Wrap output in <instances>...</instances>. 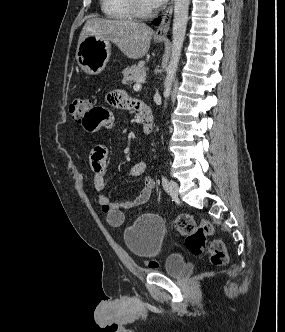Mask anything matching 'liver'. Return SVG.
I'll use <instances>...</instances> for the list:
<instances>
[{
    "label": "liver",
    "instance_id": "obj_1",
    "mask_svg": "<svg viewBox=\"0 0 285 332\" xmlns=\"http://www.w3.org/2000/svg\"><path fill=\"white\" fill-rule=\"evenodd\" d=\"M90 35L114 43L130 59L142 58L150 48L153 30L132 20L88 19L79 36L78 45Z\"/></svg>",
    "mask_w": 285,
    "mask_h": 332
}]
</instances>
